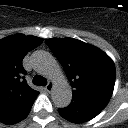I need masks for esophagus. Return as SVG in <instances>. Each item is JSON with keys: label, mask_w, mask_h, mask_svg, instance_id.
<instances>
[{"label": "esophagus", "mask_w": 128, "mask_h": 128, "mask_svg": "<svg viewBox=\"0 0 128 128\" xmlns=\"http://www.w3.org/2000/svg\"><path fill=\"white\" fill-rule=\"evenodd\" d=\"M53 87H54L53 82H49V83L46 85L45 90H46L48 93H51L52 90H53Z\"/></svg>", "instance_id": "1"}]
</instances>
